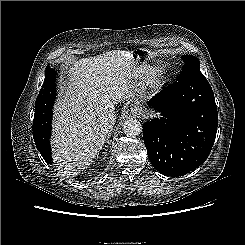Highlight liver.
I'll list each match as a JSON object with an SVG mask.
<instances>
[{
	"instance_id": "obj_1",
	"label": "liver",
	"mask_w": 245,
	"mask_h": 245,
	"mask_svg": "<svg viewBox=\"0 0 245 245\" xmlns=\"http://www.w3.org/2000/svg\"><path fill=\"white\" fill-rule=\"evenodd\" d=\"M138 65L125 50H112L75 61L60 87L54 109L53 155L57 168L75 176L89 166L110 129L96 113L105 100L117 104L133 95Z\"/></svg>"
}]
</instances>
